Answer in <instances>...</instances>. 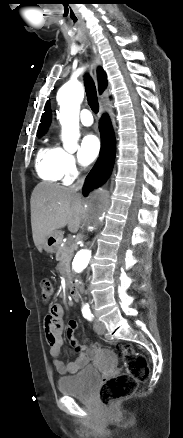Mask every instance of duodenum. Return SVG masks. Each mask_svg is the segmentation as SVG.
<instances>
[{"mask_svg":"<svg viewBox=\"0 0 183 438\" xmlns=\"http://www.w3.org/2000/svg\"><path fill=\"white\" fill-rule=\"evenodd\" d=\"M69 294L74 301L79 299V289L76 284H72L69 286Z\"/></svg>","mask_w":183,"mask_h":438,"instance_id":"obj_1","label":"duodenum"}]
</instances>
